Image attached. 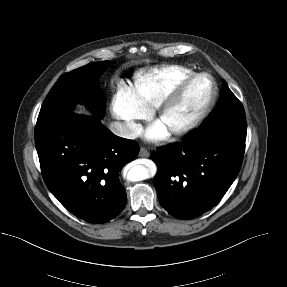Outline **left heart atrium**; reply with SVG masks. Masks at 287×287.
<instances>
[{"instance_id": "left-heart-atrium-1", "label": "left heart atrium", "mask_w": 287, "mask_h": 287, "mask_svg": "<svg viewBox=\"0 0 287 287\" xmlns=\"http://www.w3.org/2000/svg\"><path fill=\"white\" fill-rule=\"evenodd\" d=\"M166 134V128L161 123L152 125L147 131V138L150 140L161 139Z\"/></svg>"}]
</instances>
